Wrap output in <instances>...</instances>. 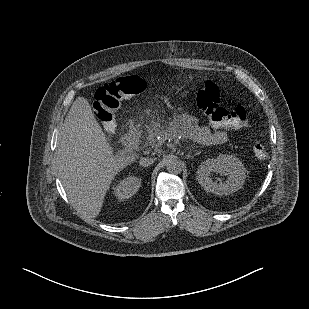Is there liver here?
Wrapping results in <instances>:
<instances>
[{
    "label": "liver",
    "mask_w": 309,
    "mask_h": 309,
    "mask_svg": "<svg viewBox=\"0 0 309 309\" xmlns=\"http://www.w3.org/2000/svg\"><path fill=\"white\" fill-rule=\"evenodd\" d=\"M135 157L114 155L88 100L74 101L59 132L57 164L62 185L77 210L97 217L112 180Z\"/></svg>",
    "instance_id": "6515ba94"
}]
</instances>
